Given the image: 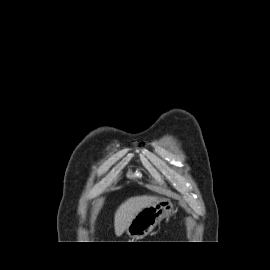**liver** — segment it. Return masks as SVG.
<instances>
[{
	"mask_svg": "<svg viewBox=\"0 0 270 270\" xmlns=\"http://www.w3.org/2000/svg\"><path fill=\"white\" fill-rule=\"evenodd\" d=\"M157 200V196L142 195L131 197L123 202L114 215V230L116 236H121L126 231L137 213Z\"/></svg>",
	"mask_w": 270,
	"mask_h": 270,
	"instance_id": "obj_1",
	"label": "liver"
}]
</instances>
